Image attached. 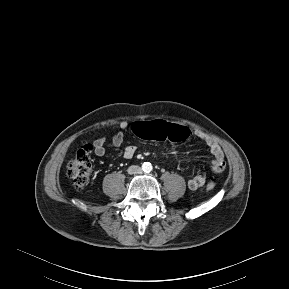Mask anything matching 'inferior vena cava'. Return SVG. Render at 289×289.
I'll return each mask as SVG.
<instances>
[{
    "label": "inferior vena cava",
    "mask_w": 289,
    "mask_h": 289,
    "mask_svg": "<svg viewBox=\"0 0 289 289\" xmlns=\"http://www.w3.org/2000/svg\"><path fill=\"white\" fill-rule=\"evenodd\" d=\"M128 173L129 174H141L142 169H141V167H139L137 165H132L128 168Z\"/></svg>",
    "instance_id": "obj_1"
}]
</instances>
